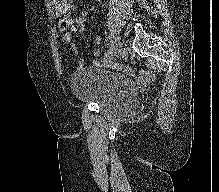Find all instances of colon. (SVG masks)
<instances>
[{"mask_svg":"<svg viewBox=\"0 0 219 192\" xmlns=\"http://www.w3.org/2000/svg\"><path fill=\"white\" fill-rule=\"evenodd\" d=\"M65 3V0H53V4L56 8L62 7Z\"/></svg>","mask_w":219,"mask_h":192,"instance_id":"colon-1","label":"colon"}]
</instances>
